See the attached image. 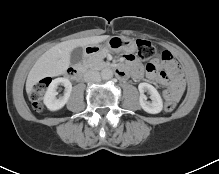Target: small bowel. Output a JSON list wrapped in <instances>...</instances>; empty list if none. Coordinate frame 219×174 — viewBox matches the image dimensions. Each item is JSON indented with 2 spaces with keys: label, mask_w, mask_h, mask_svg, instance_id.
I'll use <instances>...</instances> for the list:
<instances>
[{
  "label": "small bowel",
  "mask_w": 219,
  "mask_h": 174,
  "mask_svg": "<svg viewBox=\"0 0 219 174\" xmlns=\"http://www.w3.org/2000/svg\"><path fill=\"white\" fill-rule=\"evenodd\" d=\"M124 62L127 63L128 70L132 73V75L139 79L142 77L143 70L140 64L137 62L135 56L133 54H128L124 58ZM148 67L151 70H148ZM147 67V75L148 78L152 81L161 83V84H169L170 89H163L160 92L161 99L167 102L179 103L183 99V90L185 86L184 75L177 64L174 56L170 51H164L161 54L160 59L153 60ZM164 69L166 74L162 75L159 73L160 70Z\"/></svg>",
  "instance_id": "obj_1"
}]
</instances>
